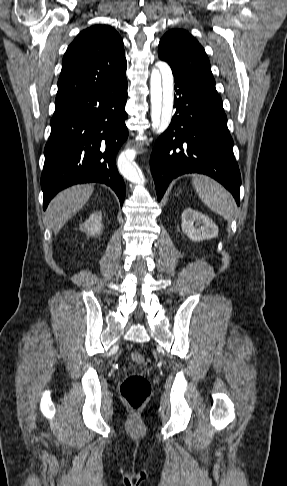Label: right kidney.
I'll return each mask as SVG.
<instances>
[{"label":"right kidney","instance_id":"ca27d5eb","mask_svg":"<svg viewBox=\"0 0 287 486\" xmlns=\"http://www.w3.org/2000/svg\"><path fill=\"white\" fill-rule=\"evenodd\" d=\"M101 221L102 213L98 211L93 212L90 217L79 226V230L87 233L90 236L97 235L101 232Z\"/></svg>","mask_w":287,"mask_h":486}]
</instances>
